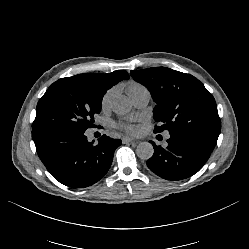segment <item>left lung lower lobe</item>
I'll return each mask as SVG.
<instances>
[{
  "mask_svg": "<svg viewBox=\"0 0 249 249\" xmlns=\"http://www.w3.org/2000/svg\"><path fill=\"white\" fill-rule=\"evenodd\" d=\"M169 134L165 147L150 141L154 154L147 160V166L158 176L173 181L197 173L210 157L219 136L215 132L191 128L178 129Z\"/></svg>",
  "mask_w": 249,
  "mask_h": 249,
  "instance_id": "0a47b994",
  "label": "left lung lower lobe"
}]
</instances>
